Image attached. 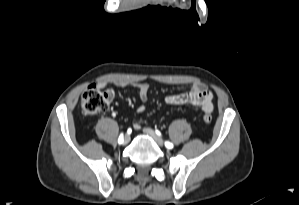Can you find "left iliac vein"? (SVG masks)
Segmentation results:
<instances>
[{
	"instance_id": "4c4485c4",
	"label": "left iliac vein",
	"mask_w": 299,
	"mask_h": 205,
	"mask_svg": "<svg viewBox=\"0 0 299 205\" xmlns=\"http://www.w3.org/2000/svg\"><path fill=\"white\" fill-rule=\"evenodd\" d=\"M144 133L149 135L150 137H152L154 139V141L159 145V146H163L164 145V141L163 139L151 128H144L143 129Z\"/></svg>"
}]
</instances>
